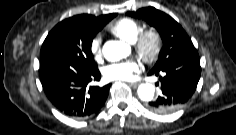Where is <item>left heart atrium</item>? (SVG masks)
Returning a JSON list of instances; mask_svg holds the SVG:
<instances>
[{
  "label": "left heart atrium",
  "mask_w": 236,
  "mask_h": 135,
  "mask_svg": "<svg viewBox=\"0 0 236 135\" xmlns=\"http://www.w3.org/2000/svg\"><path fill=\"white\" fill-rule=\"evenodd\" d=\"M140 64L135 60L113 63L105 68L104 74L108 79L128 80L133 74L139 72Z\"/></svg>",
  "instance_id": "left-heart-atrium-1"
}]
</instances>
